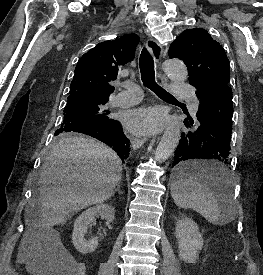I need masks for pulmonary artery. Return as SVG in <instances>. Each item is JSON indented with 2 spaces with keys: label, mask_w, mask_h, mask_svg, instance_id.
<instances>
[{
  "label": "pulmonary artery",
  "mask_w": 263,
  "mask_h": 275,
  "mask_svg": "<svg viewBox=\"0 0 263 275\" xmlns=\"http://www.w3.org/2000/svg\"><path fill=\"white\" fill-rule=\"evenodd\" d=\"M173 92L183 97L189 104L193 113L198 110V100L195 95L194 89L184 83L174 84ZM141 100V91L139 87L134 83L126 85V89L118 94L117 102L120 106H131L138 103Z\"/></svg>",
  "instance_id": "pulmonary-artery-1"
}]
</instances>
